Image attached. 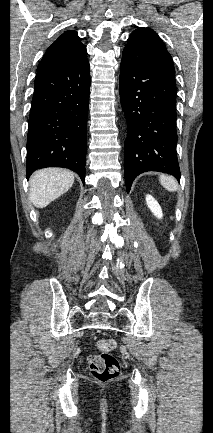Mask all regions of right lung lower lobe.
I'll return each mask as SVG.
<instances>
[{"mask_svg":"<svg viewBox=\"0 0 213 433\" xmlns=\"http://www.w3.org/2000/svg\"><path fill=\"white\" fill-rule=\"evenodd\" d=\"M34 87L27 135V177L39 168L65 167L75 171L84 183L88 60L71 67L39 71Z\"/></svg>","mask_w":213,"mask_h":433,"instance_id":"right-lung-lower-lobe-1","label":"right lung lower lobe"}]
</instances>
